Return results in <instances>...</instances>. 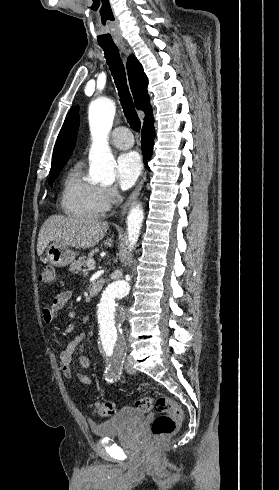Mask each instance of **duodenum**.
Segmentation results:
<instances>
[{"instance_id": "1", "label": "duodenum", "mask_w": 279, "mask_h": 490, "mask_svg": "<svg viewBox=\"0 0 279 490\" xmlns=\"http://www.w3.org/2000/svg\"><path fill=\"white\" fill-rule=\"evenodd\" d=\"M103 283L104 281L103 280H97L95 281L91 287H90V294L91 295H96L97 293L100 292V290L102 289L103 287Z\"/></svg>"}]
</instances>
